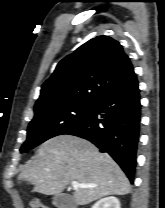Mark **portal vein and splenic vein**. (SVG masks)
I'll use <instances>...</instances> for the list:
<instances>
[{"label":"portal vein and splenic vein","mask_w":165,"mask_h":208,"mask_svg":"<svg viewBox=\"0 0 165 208\" xmlns=\"http://www.w3.org/2000/svg\"><path fill=\"white\" fill-rule=\"evenodd\" d=\"M72 187L74 189H77V188H89V187H96V185H82V184H79L77 181H73L71 183Z\"/></svg>","instance_id":"18ae733b"}]
</instances>
